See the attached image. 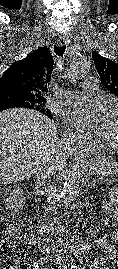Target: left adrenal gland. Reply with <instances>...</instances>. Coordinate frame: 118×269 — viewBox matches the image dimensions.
Instances as JSON below:
<instances>
[{"instance_id":"1","label":"left adrenal gland","mask_w":118,"mask_h":269,"mask_svg":"<svg viewBox=\"0 0 118 269\" xmlns=\"http://www.w3.org/2000/svg\"><path fill=\"white\" fill-rule=\"evenodd\" d=\"M92 186H95V180L93 181Z\"/></svg>"}]
</instances>
